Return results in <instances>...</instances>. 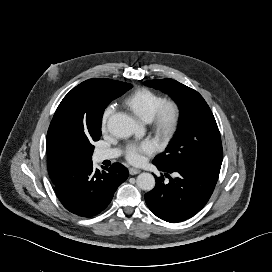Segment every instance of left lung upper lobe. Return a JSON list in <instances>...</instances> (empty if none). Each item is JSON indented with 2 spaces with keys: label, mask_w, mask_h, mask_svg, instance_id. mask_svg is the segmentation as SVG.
<instances>
[{
  "label": "left lung upper lobe",
  "mask_w": 272,
  "mask_h": 272,
  "mask_svg": "<svg viewBox=\"0 0 272 272\" xmlns=\"http://www.w3.org/2000/svg\"><path fill=\"white\" fill-rule=\"evenodd\" d=\"M144 83L169 94L180 109L174 139L153 162L164 167L194 163L221 165L223 149L220 132L203 97L172 79L147 80Z\"/></svg>",
  "instance_id": "1"
}]
</instances>
